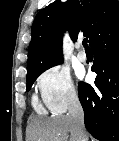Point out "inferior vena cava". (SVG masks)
I'll list each match as a JSON object with an SVG mask.
<instances>
[{"label":"inferior vena cava","instance_id":"obj_1","mask_svg":"<svg viewBox=\"0 0 119 141\" xmlns=\"http://www.w3.org/2000/svg\"><path fill=\"white\" fill-rule=\"evenodd\" d=\"M69 116L73 119L79 141H88L85 135L84 112L76 94H71L68 100Z\"/></svg>","mask_w":119,"mask_h":141}]
</instances>
